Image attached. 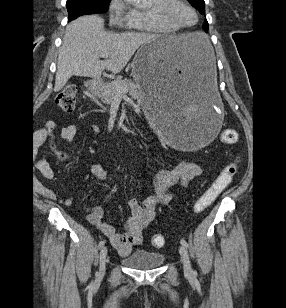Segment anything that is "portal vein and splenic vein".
<instances>
[{
  "label": "portal vein and splenic vein",
  "instance_id": "portal-vein-and-splenic-vein-1",
  "mask_svg": "<svg viewBox=\"0 0 286 308\" xmlns=\"http://www.w3.org/2000/svg\"><path fill=\"white\" fill-rule=\"evenodd\" d=\"M110 56V53L109 52H102L100 54V57L102 58H108ZM118 88V95L117 96H120L122 95L123 93L127 92V89L122 87V86H117Z\"/></svg>",
  "mask_w": 286,
  "mask_h": 308
}]
</instances>
